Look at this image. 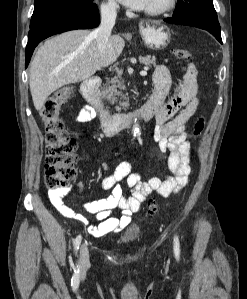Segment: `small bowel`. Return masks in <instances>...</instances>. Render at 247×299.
<instances>
[{"label": "small bowel", "instance_id": "obj_1", "mask_svg": "<svg viewBox=\"0 0 247 299\" xmlns=\"http://www.w3.org/2000/svg\"><path fill=\"white\" fill-rule=\"evenodd\" d=\"M154 90L149 97L156 107L154 140L162 152H168V173L163 177L153 176L142 180L140 174L133 171L129 161L121 162L112 175L101 179L100 186L110 190L106 198L83 204L88 213L94 214L97 224H90L85 216L74 212L63 202L71 187L52 191L49 198L53 206L65 217L83 223L88 232L95 237L122 231L131 221L133 213L138 212L146 199L156 193L162 198L179 193L188 183L191 172L190 144L187 141L186 123L194 115L199 104L196 71L189 64L183 80L172 91V79L165 65H158L153 74ZM95 116L90 106H85L76 116L77 122H87ZM124 185L130 190L126 195ZM81 189V184H78ZM120 210L119 217L113 216Z\"/></svg>", "mask_w": 247, "mask_h": 299}]
</instances>
